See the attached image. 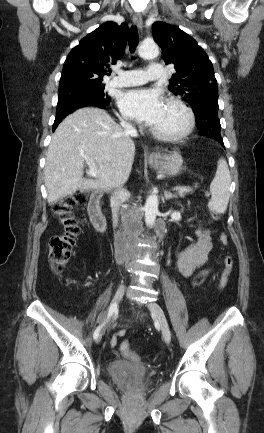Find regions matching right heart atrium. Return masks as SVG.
<instances>
[{
    "mask_svg": "<svg viewBox=\"0 0 264 433\" xmlns=\"http://www.w3.org/2000/svg\"><path fill=\"white\" fill-rule=\"evenodd\" d=\"M121 121L124 123H129V120L126 116H121Z\"/></svg>",
    "mask_w": 264,
    "mask_h": 433,
    "instance_id": "right-heart-atrium-1",
    "label": "right heart atrium"
}]
</instances>
